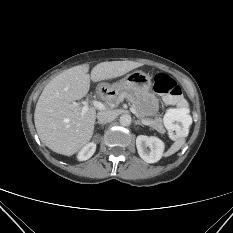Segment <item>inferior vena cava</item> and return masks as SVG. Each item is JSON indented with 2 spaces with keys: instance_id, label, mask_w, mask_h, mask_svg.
I'll return each mask as SVG.
<instances>
[{
  "instance_id": "1",
  "label": "inferior vena cava",
  "mask_w": 233,
  "mask_h": 233,
  "mask_svg": "<svg viewBox=\"0 0 233 233\" xmlns=\"http://www.w3.org/2000/svg\"><path fill=\"white\" fill-rule=\"evenodd\" d=\"M116 118V113L114 111H101L97 114L98 122L101 124H106L113 121Z\"/></svg>"
}]
</instances>
